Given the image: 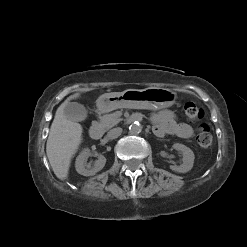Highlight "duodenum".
I'll use <instances>...</instances> for the list:
<instances>
[{
    "label": "duodenum",
    "mask_w": 247,
    "mask_h": 247,
    "mask_svg": "<svg viewBox=\"0 0 247 247\" xmlns=\"http://www.w3.org/2000/svg\"><path fill=\"white\" fill-rule=\"evenodd\" d=\"M89 135L93 140H99L103 135V128L99 124H94L90 127Z\"/></svg>",
    "instance_id": "410a0bca"
}]
</instances>
